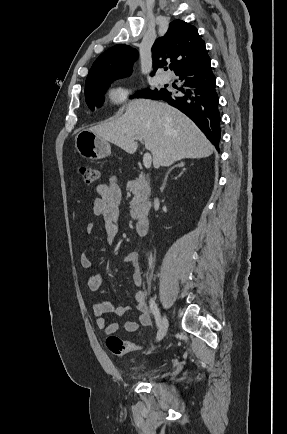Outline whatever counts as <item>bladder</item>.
<instances>
[{"label": "bladder", "instance_id": "bladder-1", "mask_svg": "<svg viewBox=\"0 0 287 434\" xmlns=\"http://www.w3.org/2000/svg\"><path fill=\"white\" fill-rule=\"evenodd\" d=\"M157 374H158L157 370H151V371H145V372L140 373V376L146 377V378H151Z\"/></svg>", "mask_w": 287, "mask_h": 434}]
</instances>
